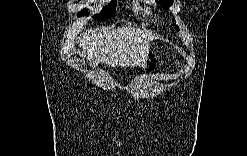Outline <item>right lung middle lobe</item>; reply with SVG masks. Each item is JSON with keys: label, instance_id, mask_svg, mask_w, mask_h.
Segmentation results:
<instances>
[{"label": "right lung middle lobe", "instance_id": "right-lung-middle-lobe-1", "mask_svg": "<svg viewBox=\"0 0 247 156\" xmlns=\"http://www.w3.org/2000/svg\"><path fill=\"white\" fill-rule=\"evenodd\" d=\"M116 12V2H110L107 6H105L101 13L94 16L97 20H106L110 18L111 16H114ZM83 15H87V11L84 10L83 12H80L77 14L78 17H81Z\"/></svg>", "mask_w": 247, "mask_h": 156}]
</instances>
